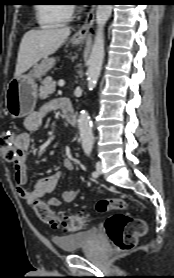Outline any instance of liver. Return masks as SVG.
I'll use <instances>...</instances> for the list:
<instances>
[{"mask_svg":"<svg viewBox=\"0 0 174 278\" xmlns=\"http://www.w3.org/2000/svg\"><path fill=\"white\" fill-rule=\"evenodd\" d=\"M70 33L69 27L33 29L26 32L19 46L15 77L26 72L39 60L55 53Z\"/></svg>","mask_w":174,"mask_h":278,"instance_id":"1","label":"liver"}]
</instances>
